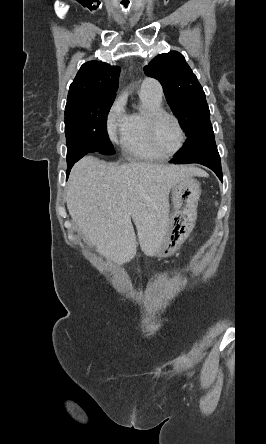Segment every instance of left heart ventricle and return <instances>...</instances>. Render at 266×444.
<instances>
[{"label": "left heart ventricle", "mask_w": 266, "mask_h": 444, "mask_svg": "<svg viewBox=\"0 0 266 444\" xmlns=\"http://www.w3.org/2000/svg\"><path fill=\"white\" fill-rule=\"evenodd\" d=\"M155 139L163 152L170 153L178 147L180 134L177 125L171 118L163 117L158 121L155 128Z\"/></svg>", "instance_id": "obj_1"}]
</instances>
